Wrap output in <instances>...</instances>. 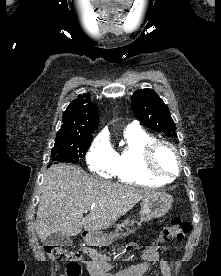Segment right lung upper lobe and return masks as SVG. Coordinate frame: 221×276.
<instances>
[{"instance_id": "cb5924a9", "label": "right lung upper lobe", "mask_w": 221, "mask_h": 276, "mask_svg": "<svg viewBox=\"0 0 221 276\" xmlns=\"http://www.w3.org/2000/svg\"><path fill=\"white\" fill-rule=\"evenodd\" d=\"M97 106L91 103L90 94L85 93L73 100L63 113V124L56 141L93 138L92 133L99 123Z\"/></svg>"}]
</instances>
